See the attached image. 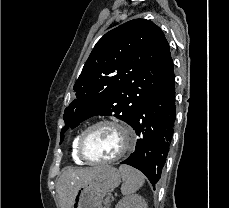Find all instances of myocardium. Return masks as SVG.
Instances as JSON below:
<instances>
[{"instance_id": "myocardium-1", "label": "myocardium", "mask_w": 229, "mask_h": 208, "mask_svg": "<svg viewBox=\"0 0 229 208\" xmlns=\"http://www.w3.org/2000/svg\"><path fill=\"white\" fill-rule=\"evenodd\" d=\"M104 125L115 126L121 129L125 133L127 139L126 138L120 139L121 143H125V147L119 154L115 155V157H111V160H89V157H87V154L85 153L86 137L93 129L100 127V126H104ZM117 133L120 135L122 132L119 130ZM134 144H135V138H134L133 133L123 123L117 120H109V119L100 120L88 126L84 131H82L79 137V140H78L79 153L77 154V157L83 158L86 162L94 163V164L112 163L126 156L132 150V148L134 147Z\"/></svg>"}]
</instances>
